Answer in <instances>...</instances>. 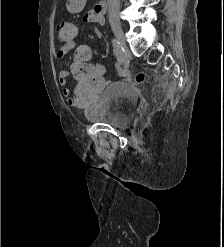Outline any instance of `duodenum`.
Segmentation results:
<instances>
[{"instance_id":"obj_1","label":"duodenum","mask_w":224,"mask_h":247,"mask_svg":"<svg viewBox=\"0 0 224 247\" xmlns=\"http://www.w3.org/2000/svg\"><path fill=\"white\" fill-rule=\"evenodd\" d=\"M106 5H107V0H100V2L98 4H96L95 9L99 13H103L106 9Z\"/></svg>"}]
</instances>
